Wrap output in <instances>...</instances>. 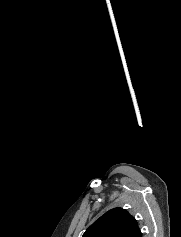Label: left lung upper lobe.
I'll list each match as a JSON object with an SVG mask.
<instances>
[{
	"instance_id": "left-lung-upper-lobe-1",
	"label": "left lung upper lobe",
	"mask_w": 181,
	"mask_h": 237,
	"mask_svg": "<svg viewBox=\"0 0 181 237\" xmlns=\"http://www.w3.org/2000/svg\"><path fill=\"white\" fill-rule=\"evenodd\" d=\"M83 237H142L137 220L125 209L113 208L98 218Z\"/></svg>"
}]
</instances>
